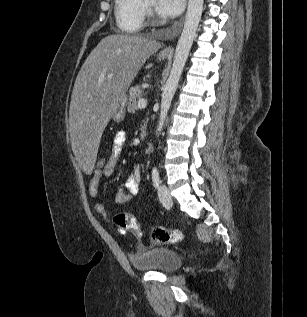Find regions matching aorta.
Segmentation results:
<instances>
[{
  "instance_id": "obj_1",
  "label": "aorta",
  "mask_w": 307,
  "mask_h": 317,
  "mask_svg": "<svg viewBox=\"0 0 307 317\" xmlns=\"http://www.w3.org/2000/svg\"><path fill=\"white\" fill-rule=\"evenodd\" d=\"M203 1L204 0H189L188 2L184 28L180 39L178 40L173 65L161 95V110L156 129L157 136H159L162 131L173 96L177 90L180 77L193 44L203 11Z\"/></svg>"
}]
</instances>
